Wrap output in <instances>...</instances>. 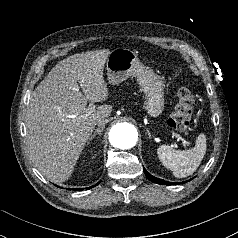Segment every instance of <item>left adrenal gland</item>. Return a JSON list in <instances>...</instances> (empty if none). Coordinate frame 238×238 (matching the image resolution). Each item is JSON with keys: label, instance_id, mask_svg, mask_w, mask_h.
Here are the masks:
<instances>
[{"label": "left adrenal gland", "instance_id": "obj_1", "mask_svg": "<svg viewBox=\"0 0 238 238\" xmlns=\"http://www.w3.org/2000/svg\"><path fill=\"white\" fill-rule=\"evenodd\" d=\"M147 133L149 135V138H151V134H150V131L147 129Z\"/></svg>", "mask_w": 238, "mask_h": 238}]
</instances>
